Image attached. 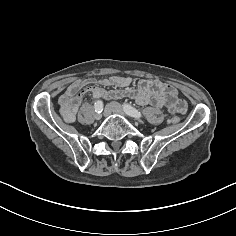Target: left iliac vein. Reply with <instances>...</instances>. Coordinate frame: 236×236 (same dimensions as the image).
Masks as SVG:
<instances>
[{"instance_id":"left-iliac-vein-1","label":"left iliac vein","mask_w":236,"mask_h":236,"mask_svg":"<svg viewBox=\"0 0 236 236\" xmlns=\"http://www.w3.org/2000/svg\"><path fill=\"white\" fill-rule=\"evenodd\" d=\"M110 105L112 107V112L120 114V115H125L123 107L119 103L112 102Z\"/></svg>"}]
</instances>
